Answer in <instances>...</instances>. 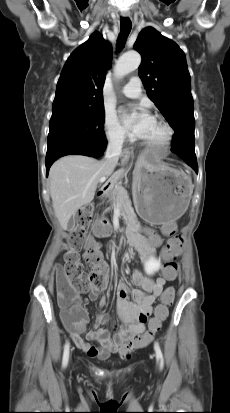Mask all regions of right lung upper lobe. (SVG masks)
Instances as JSON below:
<instances>
[{
  "instance_id": "cb5924a9",
  "label": "right lung upper lobe",
  "mask_w": 230,
  "mask_h": 413,
  "mask_svg": "<svg viewBox=\"0 0 230 413\" xmlns=\"http://www.w3.org/2000/svg\"><path fill=\"white\" fill-rule=\"evenodd\" d=\"M112 48L98 32L75 49L57 83L52 112L104 108L103 85L111 67Z\"/></svg>"
}]
</instances>
